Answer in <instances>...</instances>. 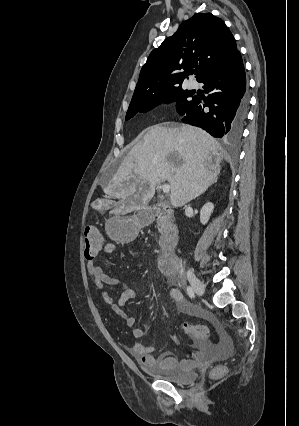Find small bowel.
<instances>
[{
    "instance_id": "small-bowel-1",
    "label": "small bowel",
    "mask_w": 299,
    "mask_h": 426,
    "mask_svg": "<svg viewBox=\"0 0 299 426\" xmlns=\"http://www.w3.org/2000/svg\"><path fill=\"white\" fill-rule=\"evenodd\" d=\"M116 245L114 243H107L103 245L100 254H111L115 252ZM97 255V256H98ZM97 256L87 261V270L92 278L94 285L101 291L103 301L108 304L111 309L120 316L125 324L131 328V333L135 338H141L144 334L143 330L136 327L135 317L127 313L124 306L127 302L134 300L137 297V292L132 288L125 289L118 299H115L110 292L106 289L107 286H117L119 281L106 274L103 269L96 263ZM170 295L178 305V310L181 313H188L192 311V308L183 300L181 293L172 289ZM172 341H175V337H172ZM193 348L189 358L179 361L171 352L165 350L162 351L158 356H154V347L147 346L142 343H135L131 348V354L138 360V362L146 367L153 366L162 369H182L190 370L194 367L208 363L218 352V344L209 341H199L193 339L191 342Z\"/></svg>"
}]
</instances>
